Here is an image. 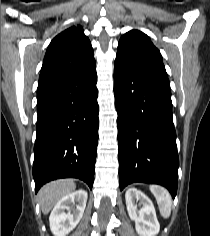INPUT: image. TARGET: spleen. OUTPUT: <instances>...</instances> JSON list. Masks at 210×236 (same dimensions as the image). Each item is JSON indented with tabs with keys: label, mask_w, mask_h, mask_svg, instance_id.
Wrapping results in <instances>:
<instances>
[{
	"label": "spleen",
	"mask_w": 210,
	"mask_h": 236,
	"mask_svg": "<svg viewBox=\"0 0 210 236\" xmlns=\"http://www.w3.org/2000/svg\"><path fill=\"white\" fill-rule=\"evenodd\" d=\"M150 191L155 196L161 215L168 218L171 214L172 198L170 193L162 187L151 185Z\"/></svg>",
	"instance_id": "spleen-1"
}]
</instances>
